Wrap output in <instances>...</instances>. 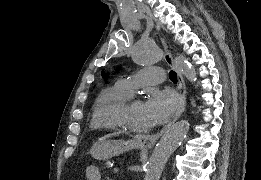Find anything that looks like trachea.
<instances>
[{
  "label": "trachea",
  "mask_w": 261,
  "mask_h": 180,
  "mask_svg": "<svg viewBox=\"0 0 261 180\" xmlns=\"http://www.w3.org/2000/svg\"><path fill=\"white\" fill-rule=\"evenodd\" d=\"M169 78H170L171 82H173V83H177V81H178L177 73L174 72L173 70H171L169 72Z\"/></svg>",
  "instance_id": "1"
}]
</instances>
